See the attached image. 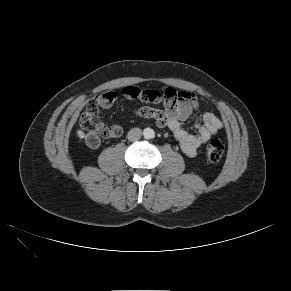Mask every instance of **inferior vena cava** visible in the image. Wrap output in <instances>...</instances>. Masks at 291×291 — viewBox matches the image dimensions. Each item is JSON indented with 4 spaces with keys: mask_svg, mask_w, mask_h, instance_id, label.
<instances>
[{
    "mask_svg": "<svg viewBox=\"0 0 291 291\" xmlns=\"http://www.w3.org/2000/svg\"><path fill=\"white\" fill-rule=\"evenodd\" d=\"M142 136V131L140 128H132L128 134L127 138L129 141H137Z\"/></svg>",
    "mask_w": 291,
    "mask_h": 291,
    "instance_id": "602c4592",
    "label": "inferior vena cava"
}]
</instances>
